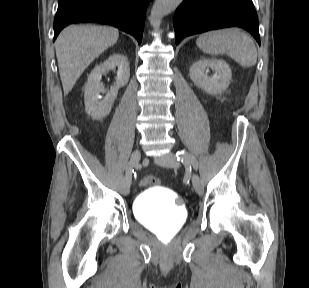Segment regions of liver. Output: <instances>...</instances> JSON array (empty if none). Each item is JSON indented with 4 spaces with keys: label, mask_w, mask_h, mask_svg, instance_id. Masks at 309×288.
Returning a JSON list of instances; mask_svg holds the SVG:
<instances>
[{
    "label": "liver",
    "mask_w": 309,
    "mask_h": 288,
    "mask_svg": "<svg viewBox=\"0 0 309 288\" xmlns=\"http://www.w3.org/2000/svg\"><path fill=\"white\" fill-rule=\"evenodd\" d=\"M119 32L113 27L96 25H70L59 34L56 56L64 95L74 87L84 70L113 46Z\"/></svg>",
    "instance_id": "1"
}]
</instances>
